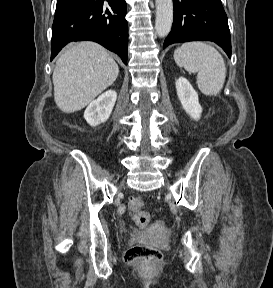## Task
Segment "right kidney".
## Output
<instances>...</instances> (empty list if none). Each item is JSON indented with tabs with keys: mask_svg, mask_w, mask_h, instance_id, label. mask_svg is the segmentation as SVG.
Masks as SVG:
<instances>
[{
	"mask_svg": "<svg viewBox=\"0 0 273 288\" xmlns=\"http://www.w3.org/2000/svg\"><path fill=\"white\" fill-rule=\"evenodd\" d=\"M117 98L115 90H108L92 101L84 112V118L91 126H97L108 120Z\"/></svg>",
	"mask_w": 273,
	"mask_h": 288,
	"instance_id": "right-kidney-1",
	"label": "right kidney"
}]
</instances>
